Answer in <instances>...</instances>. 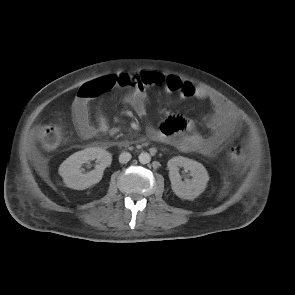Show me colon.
<instances>
[{"label":"colon","instance_id":"1","mask_svg":"<svg viewBox=\"0 0 295 295\" xmlns=\"http://www.w3.org/2000/svg\"><path fill=\"white\" fill-rule=\"evenodd\" d=\"M108 88L112 89L115 86L123 88H131L139 81L133 74H120L106 79ZM39 139L46 149L53 150L57 148L62 139L61 129L55 125H45L39 130ZM228 157L233 164L243 162L248 153L245 147L236 140H230L227 143Z\"/></svg>","mask_w":295,"mask_h":295}]
</instances>
